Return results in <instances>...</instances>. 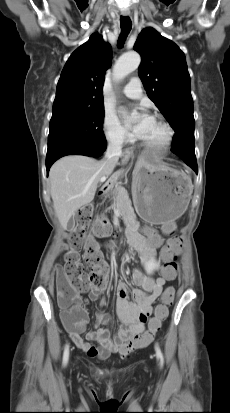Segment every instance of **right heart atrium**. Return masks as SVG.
I'll use <instances>...</instances> for the list:
<instances>
[{
    "label": "right heart atrium",
    "mask_w": 230,
    "mask_h": 413,
    "mask_svg": "<svg viewBox=\"0 0 230 413\" xmlns=\"http://www.w3.org/2000/svg\"><path fill=\"white\" fill-rule=\"evenodd\" d=\"M102 132L105 140L116 147H123L130 141L129 134L122 127L118 119L110 113L104 114Z\"/></svg>",
    "instance_id": "obj_1"
}]
</instances>
